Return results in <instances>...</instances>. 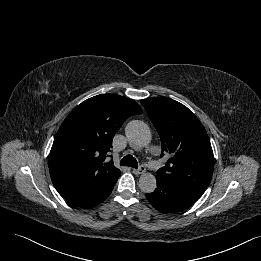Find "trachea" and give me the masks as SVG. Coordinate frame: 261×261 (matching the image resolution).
Wrapping results in <instances>:
<instances>
[{
    "mask_svg": "<svg viewBox=\"0 0 261 261\" xmlns=\"http://www.w3.org/2000/svg\"><path fill=\"white\" fill-rule=\"evenodd\" d=\"M121 166H130L132 168H138V162L132 155H126L120 161Z\"/></svg>",
    "mask_w": 261,
    "mask_h": 261,
    "instance_id": "1",
    "label": "trachea"
}]
</instances>
